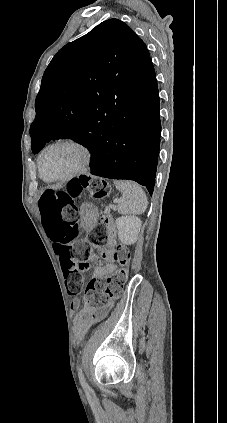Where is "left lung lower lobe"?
Instances as JSON below:
<instances>
[{"mask_svg": "<svg viewBox=\"0 0 227 423\" xmlns=\"http://www.w3.org/2000/svg\"><path fill=\"white\" fill-rule=\"evenodd\" d=\"M161 123L156 77L138 112H107L97 131L77 142L92 154L91 173L111 178L128 179L146 186L153 193Z\"/></svg>", "mask_w": 227, "mask_h": 423, "instance_id": "obj_1", "label": "left lung lower lobe"}]
</instances>
